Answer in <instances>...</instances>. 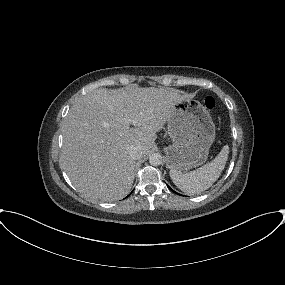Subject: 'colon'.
I'll list each match as a JSON object with an SVG mask.
<instances>
[{"label": "colon", "mask_w": 285, "mask_h": 285, "mask_svg": "<svg viewBox=\"0 0 285 285\" xmlns=\"http://www.w3.org/2000/svg\"><path fill=\"white\" fill-rule=\"evenodd\" d=\"M204 105L208 109H213L215 106V100L211 96H207L204 100Z\"/></svg>", "instance_id": "1"}]
</instances>
